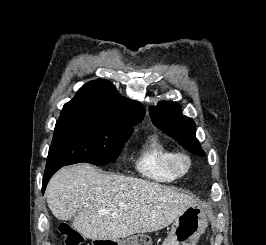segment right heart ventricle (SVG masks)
<instances>
[{"label": "right heart ventricle", "instance_id": "1", "mask_svg": "<svg viewBox=\"0 0 266 245\" xmlns=\"http://www.w3.org/2000/svg\"><path fill=\"white\" fill-rule=\"evenodd\" d=\"M174 148L158 134H151L136 147L135 168L147 180L157 184H171L179 177L171 168Z\"/></svg>", "mask_w": 266, "mask_h": 245}]
</instances>
